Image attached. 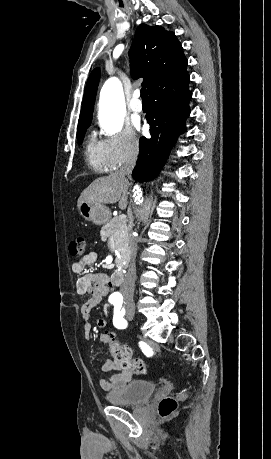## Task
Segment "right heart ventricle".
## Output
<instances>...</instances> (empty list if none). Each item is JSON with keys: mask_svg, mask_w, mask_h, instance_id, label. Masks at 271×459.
<instances>
[{"mask_svg": "<svg viewBox=\"0 0 271 459\" xmlns=\"http://www.w3.org/2000/svg\"><path fill=\"white\" fill-rule=\"evenodd\" d=\"M85 159L88 166L96 171H106L111 169L104 156L103 150L90 136L85 146Z\"/></svg>", "mask_w": 271, "mask_h": 459, "instance_id": "obj_1", "label": "right heart ventricle"}]
</instances>
